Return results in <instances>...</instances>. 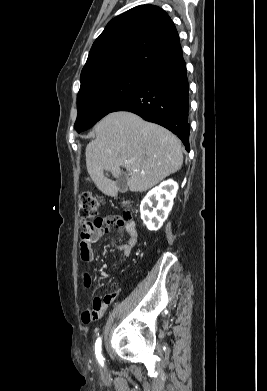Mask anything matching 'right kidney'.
<instances>
[{
    "label": "right kidney",
    "mask_w": 267,
    "mask_h": 391,
    "mask_svg": "<svg viewBox=\"0 0 267 391\" xmlns=\"http://www.w3.org/2000/svg\"><path fill=\"white\" fill-rule=\"evenodd\" d=\"M177 191V182L169 179L146 194L140 205V213L148 230L157 231L161 228L172 209Z\"/></svg>",
    "instance_id": "right-kidney-1"
}]
</instances>
